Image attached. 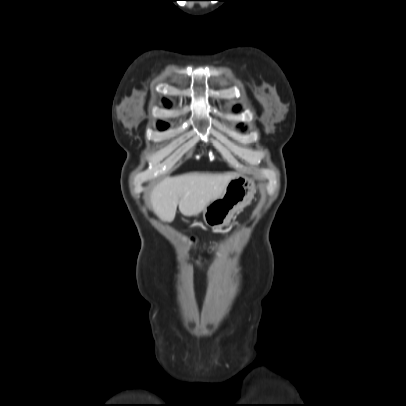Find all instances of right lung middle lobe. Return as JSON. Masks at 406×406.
Segmentation results:
<instances>
[{
  "instance_id": "obj_1",
  "label": "right lung middle lobe",
  "mask_w": 406,
  "mask_h": 406,
  "mask_svg": "<svg viewBox=\"0 0 406 406\" xmlns=\"http://www.w3.org/2000/svg\"><path fill=\"white\" fill-rule=\"evenodd\" d=\"M159 129H166L168 127L167 124H158Z\"/></svg>"
}]
</instances>
